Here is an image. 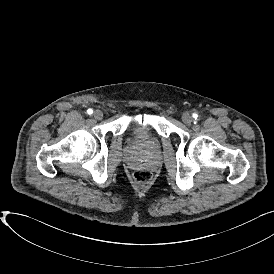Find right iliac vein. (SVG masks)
<instances>
[{"label": "right iliac vein", "instance_id": "63e3f726", "mask_svg": "<svg viewBox=\"0 0 274 274\" xmlns=\"http://www.w3.org/2000/svg\"><path fill=\"white\" fill-rule=\"evenodd\" d=\"M94 118L97 120H101L103 118V112L101 110L94 111Z\"/></svg>", "mask_w": 274, "mask_h": 274}]
</instances>
